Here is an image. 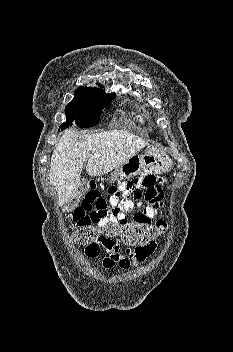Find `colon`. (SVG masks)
<instances>
[{
	"label": "colon",
	"instance_id": "colon-1",
	"mask_svg": "<svg viewBox=\"0 0 233 352\" xmlns=\"http://www.w3.org/2000/svg\"><path fill=\"white\" fill-rule=\"evenodd\" d=\"M167 222L165 219H159L149 225L125 226L108 225L106 228H99L94 221L81 224L73 233L74 242L91 246L109 239H120L129 246H141L149 244L154 238L165 233Z\"/></svg>",
	"mask_w": 233,
	"mask_h": 352
}]
</instances>
